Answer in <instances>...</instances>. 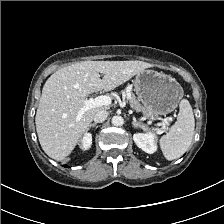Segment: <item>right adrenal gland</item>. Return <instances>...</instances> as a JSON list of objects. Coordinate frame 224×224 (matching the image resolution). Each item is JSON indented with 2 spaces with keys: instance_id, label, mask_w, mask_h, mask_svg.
Returning a JSON list of instances; mask_svg holds the SVG:
<instances>
[{
  "instance_id": "1",
  "label": "right adrenal gland",
  "mask_w": 224,
  "mask_h": 224,
  "mask_svg": "<svg viewBox=\"0 0 224 224\" xmlns=\"http://www.w3.org/2000/svg\"><path fill=\"white\" fill-rule=\"evenodd\" d=\"M96 125H97V123H91V124L89 125V128H91V127H96Z\"/></svg>"
}]
</instances>
